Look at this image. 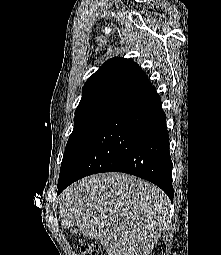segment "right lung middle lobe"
I'll use <instances>...</instances> for the list:
<instances>
[{
	"label": "right lung middle lobe",
	"instance_id": "dd1d6c3e",
	"mask_svg": "<svg viewBox=\"0 0 221 255\" xmlns=\"http://www.w3.org/2000/svg\"><path fill=\"white\" fill-rule=\"evenodd\" d=\"M117 108L104 106L75 114L74 129L65 148L59 181L66 176Z\"/></svg>",
	"mask_w": 221,
	"mask_h": 255
}]
</instances>
